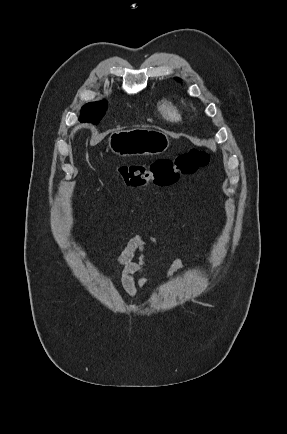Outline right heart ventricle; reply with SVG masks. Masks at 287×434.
<instances>
[{
	"label": "right heart ventricle",
	"instance_id": "e07e8e85",
	"mask_svg": "<svg viewBox=\"0 0 287 434\" xmlns=\"http://www.w3.org/2000/svg\"><path fill=\"white\" fill-rule=\"evenodd\" d=\"M158 110L160 114L167 120L178 121L181 118V111L179 106L172 100H162L158 103Z\"/></svg>",
	"mask_w": 287,
	"mask_h": 434
}]
</instances>
